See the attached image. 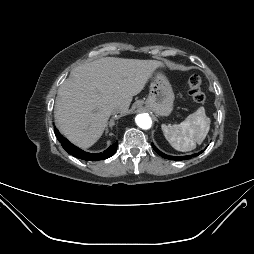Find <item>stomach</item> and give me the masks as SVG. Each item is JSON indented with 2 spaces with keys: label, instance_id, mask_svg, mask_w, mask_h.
<instances>
[{
  "label": "stomach",
  "instance_id": "stomach-1",
  "mask_svg": "<svg viewBox=\"0 0 254 254\" xmlns=\"http://www.w3.org/2000/svg\"><path fill=\"white\" fill-rule=\"evenodd\" d=\"M174 93L164 74L156 72L152 77L146 107L157 116L165 117L173 110Z\"/></svg>",
  "mask_w": 254,
  "mask_h": 254
}]
</instances>
